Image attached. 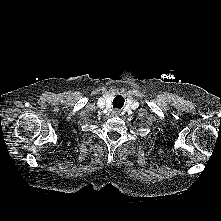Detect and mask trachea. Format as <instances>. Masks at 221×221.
I'll return each mask as SVG.
<instances>
[{
	"label": "trachea",
	"mask_w": 221,
	"mask_h": 221,
	"mask_svg": "<svg viewBox=\"0 0 221 221\" xmlns=\"http://www.w3.org/2000/svg\"><path fill=\"white\" fill-rule=\"evenodd\" d=\"M124 105V98L122 96H116L113 100V107L121 109Z\"/></svg>",
	"instance_id": "3493384b"
}]
</instances>
